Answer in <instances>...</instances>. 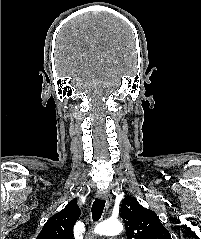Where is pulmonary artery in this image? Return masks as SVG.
<instances>
[{
	"instance_id": "e3ab8cb5",
	"label": "pulmonary artery",
	"mask_w": 201,
	"mask_h": 239,
	"mask_svg": "<svg viewBox=\"0 0 201 239\" xmlns=\"http://www.w3.org/2000/svg\"><path fill=\"white\" fill-rule=\"evenodd\" d=\"M111 239H119V238H117V237H114V238H111Z\"/></svg>"
}]
</instances>
